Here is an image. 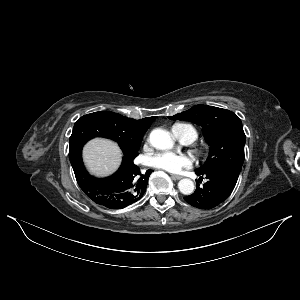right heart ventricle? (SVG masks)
<instances>
[{"mask_svg":"<svg viewBox=\"0 0 300 300\" xmlns=\"http://www.w3.org/2000/svg\"><path fill=\"white\" fill-rule=\"evenodd\" d=\"M178 127H189L194 132L195 136L197 137V132L192 126L187 125V124H178L174 128H178Z\"/></svg>","mask_w":300,"mask_h":300,"instance_id":"right-heart-ventricle-1","label":"right heart ventricle"}]
</instances>
